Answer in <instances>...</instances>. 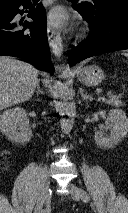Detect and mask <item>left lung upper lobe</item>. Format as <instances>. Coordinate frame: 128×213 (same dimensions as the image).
Instances as JSON below:
<instances>
[{
  "label": "left lung upper lobe",
  "instance_id": "left-lung-upper-lobe-1",
  "mask_svg": "<svg viewBox=\"0 0 128 213\" xmlns=\"http://www.w3.org/2000/svg\"><path fill=\"white\" fill-rule=\"evenodd\" d=\"M91 3H81L80 5L84 7L89 12H95L99 18L106 17L108 13L120 9L128 8V0H92Z\"/></svg>",
  "mask_w": 128,
  "mask_h": 213
}]
</instances>
